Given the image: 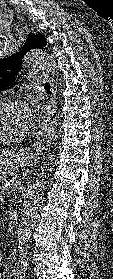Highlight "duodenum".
I'll return each instance as SVG.
<instances>
[{
    "instance_id": "duodenum-1",
    "label": "duodenum",
    "mask_w": 113,
    "mask_h": 279,
    "mask_svg": "<svg viewBox=\"0 0 113 279\" xmlns=\"http://www.w3.org/2000/svg\"><path fill=\"white\" fill-rule=\"evenodd\" d=\"M8 221L10 230L16 232L19 228V212L17 210L10 211Z\"/></svg>"
}]
</instances>
